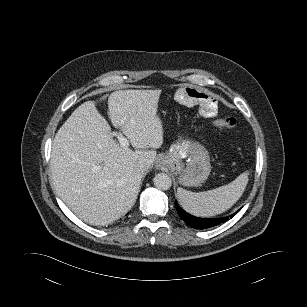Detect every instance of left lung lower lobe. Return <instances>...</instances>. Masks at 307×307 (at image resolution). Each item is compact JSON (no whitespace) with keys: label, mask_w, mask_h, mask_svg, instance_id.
<instances>
[{"label":"left lung lower lobe","mask_w":307,"mask_h":307,"mask_svg":"<svg viewBox=\"0 0 307 307\" xmlns=\"http://www.w3.org/2000/svg\"><path fill=\"white\" fill-rule=\"evenodd\" d=\"M175 207L176 210L179 214V216L191 227L195 228V229H207V228H211L214 226H217L225 221H227L229 218L225 217V218H217V219H204V218H198L195 216L190 215L189 213L185 212L183 209H181V207L177 204V202H175ZM239 212V210L237 212H235L234 214H232L230 216V218H232L233 216H235L237 213Z\"/></svg>","instance_id":"obj_1"}]
</instances>
